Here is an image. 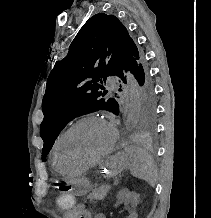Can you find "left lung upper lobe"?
<instances>
[{
    "instance_id": "left-lung-upper-lobe-1",
    "label": "left lung upper lobe",
    "mask_w": 211,
    "mask_h": 218,
    "mask_svg": "<svg viewBox=\"0 0 211 218\" xmlns=\"http://www.w3.org/2000/svg\"><path fill=\"white\" fill-rule=\"evenodd\" d=\"M123 70L130 71L142 87L140 118L146 129H154V90L144 53L118 18L96 14L82 26L69 53L56 62L47 79L42 102L44 119L40 127L43 161L60 131L75 117L100 109L118 115V102L102 97L107 93L104 87L107 77L126 83Z\"/></svg>"
}]
</instances>
